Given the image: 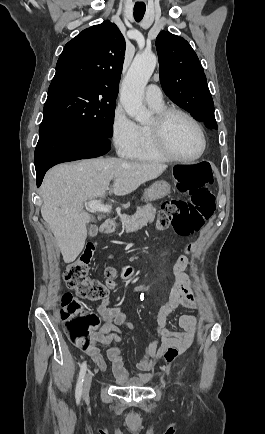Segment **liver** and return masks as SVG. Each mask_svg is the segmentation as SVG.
I'll list each match as a JSON object with an SVG mask.
<instances>
[{"mask_svg": "<svg viewBox=\"0 0 265 434\" xmlns=\"http://www.w3.org/2000/svg\"><path fill=\"white\" fill-rule=\"evenodd\" d=\"M166 168L161 162L136 164L119 158H97L59 164L49 170L41 186V216L49 224L65 264L74 262L84 248L86 224L93 220L83 210L87 200L105 198L107 190L115 196L131 194L144 182L161 176Z\"/></svg>", "mask_w": 265, "mask_h": 434, "instance_id": "6515ba94", "label": "liver"}]
</instances>
